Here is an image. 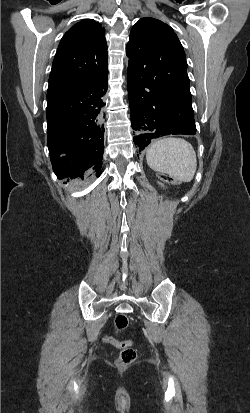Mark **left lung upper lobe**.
I'll return each mask as SVG.
<instances>
[{
    "mask_svg": "<svg viewBox=\"0 0 250 413\" xmlns=\"http://www.w3.org/2000/svg\"><path fill=\"white\" fill-rule=\"evenodd\" d=\"M148 39L153 40L151 65L154 69L188 78L184 49L170 26L154 18L140 19L131 30L127 50Z\"/></svg>",
    "mask_w": 250,
    "mask_h": 413,
    "instance_id": "5c2ea615",
    "label": "left lung upper lobe"
}]
</instances>
